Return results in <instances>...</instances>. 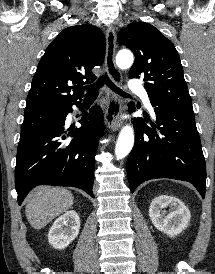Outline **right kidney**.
Masks as SVG:
<instances>
[{"instance_id":"1","label":"right kidney","mask_w":215,"mask_h":274,"mask_svg":"<svg viewBox=\"0 0 215 274\" xmlns=\"http://www.w3.org/2000/svg\"><path fill=\"white\" fill-rule=\"evenodd\" d=\"M79 229V215L74 210L67 211L53 223L48 241L54 248L64 249L77 237Z\"/></svg>"}]
</instances>
